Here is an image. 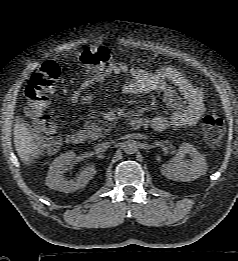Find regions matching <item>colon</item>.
Returning a JSON list of instances; mask_svg holds the SVG:
<instances>
[{"instance_id": "colon-1", "label": "colon", "mask_w": 238, "mask_h": 261, "mask_svg": "<svg viewBox=\"0 0 238 261\" xmlns=\"http://www.w3.org/2000/svg\"><path fill=\"white\" fill-rule=\"evenodd\" d=\"M110 58V51L106 47L88 48L82 52L80 57L82 64L94 75H100L104 72ZM60 75V65L52 60L46 61L32 75L25 89L26 115L31 119L33 129L39 136L41 143L51 151L58 149L60 137L56 123L45 113V109L49 104L51 94L57 88ZM201 130L207 143L215 147L225 133V120L217 114L208 113L202 119Z\"/></svg>"}]
</instances>
